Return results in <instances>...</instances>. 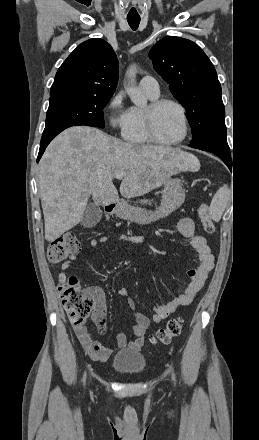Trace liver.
<instances>
[{"label":"liver","instance_id":"obj_1","mask_svg":"<svg viewBox=\"0 0 259 440\" xmlns=\"http://www.w3.org/2000/svg\"><path fill=\"white\" fill-rule=\"evenodd\" d=\"M199 168L194 155L179 149L126 143L88 126L68 128L39 163L45 239L51 242L75 227L90 196L98 206L118 202L116 173H124L120 193L129 199L160 187L174 174Z\"/></svg>","mask_w":259,"mask_h":440}]
</instances>
